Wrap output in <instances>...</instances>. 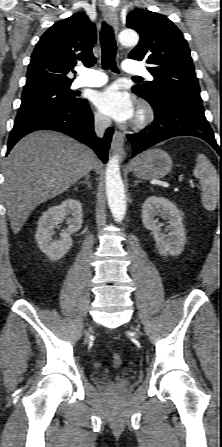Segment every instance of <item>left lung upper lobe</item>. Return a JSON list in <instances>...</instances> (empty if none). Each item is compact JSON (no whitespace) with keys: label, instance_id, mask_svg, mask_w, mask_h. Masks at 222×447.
Masks as SVG:
<instances>
[{"label":"left lung upper lobe","instance_id":"5c2ea615","mask_svg":"<svg viewBox=\"0 0 222 447\" xmlns=\"http://www.w3.org/2000/svg\"><path fill=\"white\" fill-rule=\"evenodd\" d=\"M127 27L140 35L129 58L145 61L154 77L153 81L133 86L132 91L150 104L173 95L202 105L190 50L181 31L165 16L143 9L128 14Z\"/></svg>","mask_w":222,"mask_h":447}]
</instances>
